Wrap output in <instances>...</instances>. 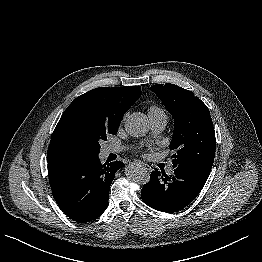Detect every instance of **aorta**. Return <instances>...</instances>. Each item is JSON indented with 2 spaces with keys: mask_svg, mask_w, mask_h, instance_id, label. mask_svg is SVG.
I'll list each match as a JSON object with an SVG mask.
<instances>
[{
  "mask_svg": "<svg viewBox=\"0 0 262 262\" xmlns=\"http://www.w3.org/2000/svg\"><path fill=\"white\" fill-rule=\"evenodd\" d=\"M126 132L133 137L145 136L149 131L147 117L140 112L131 114L125 122ZM126 177L136 184H146L150 180V173L142 164L132 163L125 168Z\"/></svg>",
  "mask_w": 262,
  "mask_h": 262,
  "instance_id": "1",
  "label": "aorta"
}]
</instances>
